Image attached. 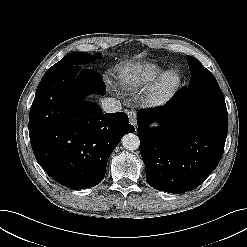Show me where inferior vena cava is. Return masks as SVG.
Returning <instances> with one entry per match:
<instances>
[{
    "label": "inferior vena cava",
    "mask_w": 247,
    "mask_h": 247,
    "mask_svg": "<svg viewBox=\"0 0 247 247\" xmlns=\"http://www.w3.org/2000/svg\"><path fill=\"white\" fill-rule=\"evenodd\" d=\"M103 111L107 113L120 112L122 109L121 103L115 98H105L101 101Z\"/></svg>",
    "instance_id": "602c4592"
}]
</instances>
